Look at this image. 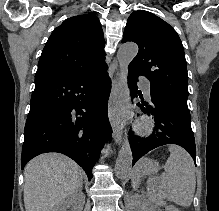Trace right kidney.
Masks as SVG:
<instances>
[{"label": "right kidney", "mask_w": 219, "mask_h": 211, "mask_svg": "<svg viewBox=\"0 0 219 211\" xmlns=\"http://www.w3.org/2000/svg\"><path fill=\"white\" fill-rule=\"evenodd\" d=\"M83 195V193H82ZM76 203V205H74ZM79 203H84V199H75L73 195H70L68 199H64V201H60V203H57L55 207H53V211H66L67 207H73V209H76L78 207Z\"/></svg>", "instance_id": "right-kidney-1"}]
</instances>
